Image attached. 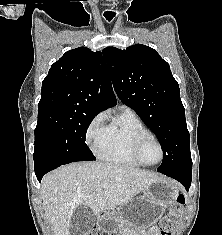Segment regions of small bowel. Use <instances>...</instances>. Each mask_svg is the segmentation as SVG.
Wrapping results in <instances>:
<instances>
[{"label":"small bowel","instance_id":"obj_1","mask_svg":"<svg viewBox=\"0 0 222 235\" xmlns=\"http://www.w3.org/2000/svg\"><path fill=\"white\" fill-rule=\"evenodd\" d=\"M151 235H158V233H157L156 230H152V231H151Z\"/></svg>","mask_w":222,"mask_h":235}]
</instances>
